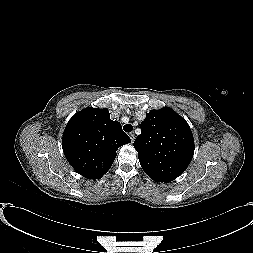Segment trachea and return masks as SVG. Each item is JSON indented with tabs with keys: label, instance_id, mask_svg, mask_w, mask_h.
<instances>
[{
	"label": "trachea",
	"instance_id": "1",
	"mask_svg": "<svg viewBox=\"0 0 253 253\" xmlns=\"http://www.w3.org/2000/svg\"><path fill=\"white\" fill-rule=\"evenodd\" d=\"M123 129H124L125 132L129 133V132L132 131L133 126L131 124H126V125L123 126Z\"/></svg>",
	"mask_w": 253,
	"mask_h": 253
}]
</instances>
